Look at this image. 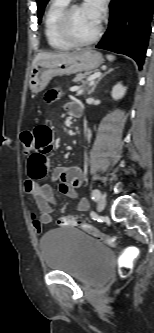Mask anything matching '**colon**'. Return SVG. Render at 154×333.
I'll return each instance as SVG.
<instances>
[{
    "mask_svg": "<svg viewBox=\"0 0 154 333\" xmlns=\"http://www.w3.org/2000/svg\"><path fill=\"white\" fill-rule=\"evenodd\" d=\"M20 141L22 149L24 152H30L33 148V133L31 129H26L22 131L20 135ZM59 226H74L80 225L81 228L90 235L95 236L102 242L106 243L109 246H115V239L107 234L99 231L95 226L88 222L79 221L74 216H63L58 220ZM138 251L136 248L132 247L126 250L121 260L119 271L122 276H128L132 271L133 261L137 257Z\"/></svg>",
    "mask_w": 154,
    "mask_h": 333,
    "instance_id": "5ec220e1",
    "label": "colon"
}]
</instances>
